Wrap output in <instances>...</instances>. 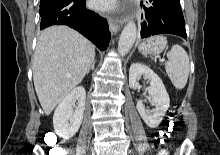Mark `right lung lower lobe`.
Wrapping results in <instances>:
<instances>
[{"label":"right lung lower lobe","instance_id":"98d812e1","mask_svg":"<svg viewBox=\"0 0 220 155\" xmlns=\"http://www.w3.org/2000/svg\"><path fill=\"white\" fill-rule=\"evenodd\" d=\"M85 3V0H55L40 6V29L51 25H67L104 51L111 37L108 23L106 19L88 10Z\"/></svg>","mask_w":220,"mask_h":155}]
</instances>
